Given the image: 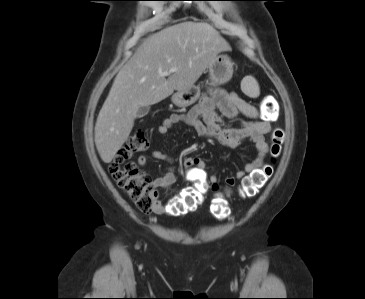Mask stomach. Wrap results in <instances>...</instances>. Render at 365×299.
Listing matches in <instances>:
<instances>
[{"instance_id":"obj_1","label":"stomach","mask_w":365,"mask_h":299,"mask_svg":"<svg viewBox=\"0 0 365 299\" xmlns=\"http://www.w3.org/2000/svg\"><path fill=\"white\" fill-rule=\"evenodd\" d=\"M234 63L227 55H217L213 62L208 65L209 77L213 83H227L233 75ZM200 96V88L193 85L192 87L177 91L172 95V102L178 107H187L197 101Z\"/></svg>"}]
</instances>
